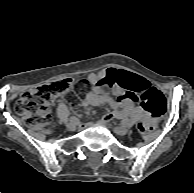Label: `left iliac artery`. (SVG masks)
<instances>
[{"mask_svg":"<svg viewBox=\"0 0 194 193\" xmlns=\"http://www.w3.org/2000/svg\"><path fill=\"white\" fill-rule=\"evenodd\" d=\"M128 122H129V119L126 118V119H124V120L122 121V124H123V125H126Z\"/></svg>","mask_w":194,"mask_h":193,"instance_id":"left-iliac-artery-1","label":"left iliac artery"}]
</instances>
